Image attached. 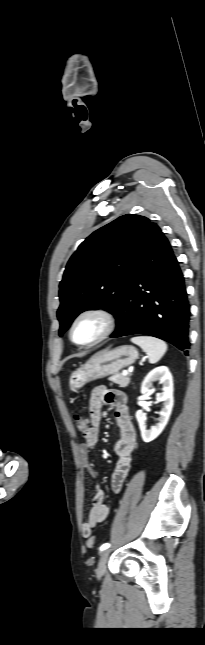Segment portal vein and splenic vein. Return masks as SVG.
<instances>
[{
	"label": "portal vein and splenic vein",
	"mask_w": 205,
	"mask_h": 645,
	"mask_svg": "<svg viewBox=\"0 0 205 645\" xmlns=\"http://www.w3.org/2000/svg\"><path fill=\"white\" fill-rule=\"evenodd\" d=\"M122 374H123L124 376H127V375L129 374V372L125 370V371H123V373H122Z\"/></svg>",
	"instance_id": "obj_1"
}]
</instances>
